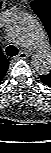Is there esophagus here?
Segmentation results:
<instances>
[{
	"instance_id": "34e87169",
	"label": "esophagus",
	"mask_w": 51,
	"mask_h": 153,
	"mask_svg": "<svg viewBox=\"0 0 51 153\" xmlns=\"http://www.w3.org/2000/svg\"><path fill=\"white\" fill-rule=\"evenodd\" d=\"M26 57H28V54L24 51H21L18 55L17 58L18 59H25Z\"/></svg>"
}]
</instances>
